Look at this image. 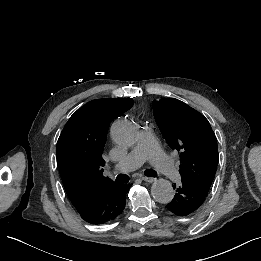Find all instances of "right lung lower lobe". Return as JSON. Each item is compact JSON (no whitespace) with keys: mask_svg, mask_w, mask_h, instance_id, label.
<instances>
[{"mask_svg":"<svg viewBox=\"0 0 261 261\" xmlns=\"http://www.w3.org/2000/svg\"><path fill=\"white\" fill-rule=\"evenodd\" d=\"M130 186L112 183L98 189L76 210L83 220L91 224L112 221L123 211Z\"/></svg>","mask_w":261,"mask_h":261,"instance_id":"obj_1","label":"right lung lower lobe"}]
</instances>
